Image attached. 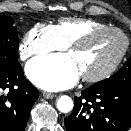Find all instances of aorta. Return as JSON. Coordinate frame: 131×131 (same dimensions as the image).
<instances>
[{
	"instance_id": "aorta-1",
	"label": "aorta",
	"mask_w": 131,
	"mask_h": 131,
	"mask_svg": "<svg viewBox=\"0 0 131 131\" xmlns=\"http://www.w3.org/2000/svg\"><path fill=\"white\" fill-rule=\"evenodd\" d=\"M56 106L60 112L68 113L73 109V100L69 96L63 95L58 99Z\"/></svg>"
}]
</instances>
